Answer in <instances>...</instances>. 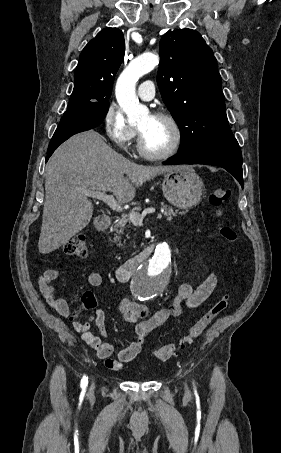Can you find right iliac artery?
<instances>
[{
    "instance_id": "obj_1",
    "label": "right iliac artery",
    "mask_w": 281,
    "mask_h": 453,
    "mask_svg": "<svg viewBox=\"0 0 281 453\" xmlns=\"http://www.w3.org/2000/svg\"><path fill=\"white\" fill-rule=\"evenodd\" d=\"M87 385H88V377L83 376V378H82V380H81V388H82V391H85V390H86Z\"/></svg>"
}]
</instances>
